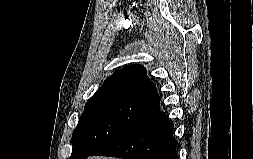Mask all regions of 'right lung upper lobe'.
<instances>
[{"mask_svg": "<svg viewBox=\"0 0 253 159\" xmlns=\"http://www.w3.org/2000/svg\"><path fill=\"white\" fill-rule=\"evenodd\" d=\"M129 97L158 105L160 97L143 66L136 64L110 76L91 98Z\"/></svg>", "mask_w": 253, "mask_h": 159, "instance_id": "1", "label": "right lung upper lobe"}]
</instances>
